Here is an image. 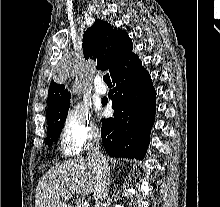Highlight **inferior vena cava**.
<instances>
[{
	"label": "inferior vena cava",
	"instance_id": "inferior-vena-cava-1",
	"mask_svg": "<svg viewBox=\"0 0 220 207\" xmlns=\"http://www.w3.org/2000/svg\"><path fill=\"white\" fill-rule=\"evenodd\" d=\"M99 142L100 135L93 133L88 145L87 157L89 162L95 167L97 171L96 184L93 191L95 207H106V200L109 192L110 169L108 167L106 158L100 152Z\"/></svg>",
	"mask_w": 220,
	"mask_h": 207
}]
</instances>
